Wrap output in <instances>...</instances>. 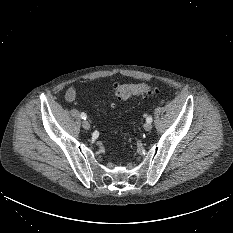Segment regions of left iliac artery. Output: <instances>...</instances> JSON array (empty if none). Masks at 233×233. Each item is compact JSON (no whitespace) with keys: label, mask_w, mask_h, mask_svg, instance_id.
Wrapping results in <instances>:
<instances>
[{"label":"left iliac artery","mask_w":233,"mask_h":233,"mask_svg":"<svg viewBox=\"0 0 233 233\" xmlns=\"http://www.w3.org/2000/svg\"><path fill=\"white\" fill-rule=\"evenodd\" d=\"M147 123H152V117L151 116H148L147 119H146Z\"/></svg>","instance_id":"1"}]
</instances>
